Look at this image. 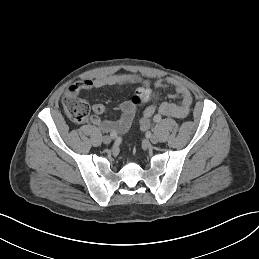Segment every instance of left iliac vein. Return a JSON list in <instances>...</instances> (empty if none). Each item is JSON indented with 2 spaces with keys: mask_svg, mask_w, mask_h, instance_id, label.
<instances>
[{
  "mask_svg": "<svg viewBox=\"0 0 259 259\" xmlns=\"http://www.w3.org/2000/svg\"><path fill=\"white\" fill-rule=\"evenodd\" d=\"M149 140L152 144H156L158 142V136L156 134H152Z\"/></svg>",
  "mask_w": 259,
  "mask_h": 259,
  "instance_id": "4c4485c4",
  "label": "left iliac vein"
}]
</instances>
